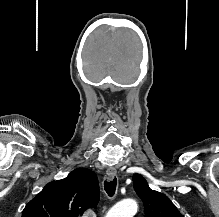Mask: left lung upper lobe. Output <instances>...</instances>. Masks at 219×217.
Returning <instances> with one entry per match:
<instances>
[{"mask_svg": "<svg viewBox=\"0 0 219 217\" xmlns=\"http://www.w3.org/2000/svg\"><path fill=\"white\" fill-rule=\"evenodd\" d=\"M134 189L143 201L145 217H183L170 199L160 192L150 189L140 174L133 176Z\"/></svg>", "mask_w": 219, "mask_h": 217, "instance_id": "left-lung-upper-lobe-1", "label": "left lung upper lobe"}]
</instances>
